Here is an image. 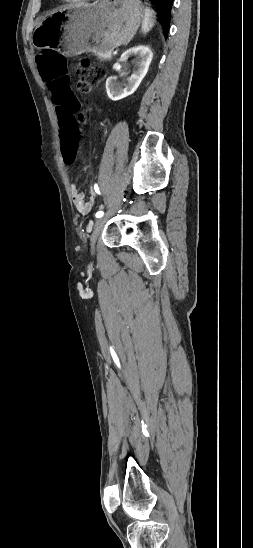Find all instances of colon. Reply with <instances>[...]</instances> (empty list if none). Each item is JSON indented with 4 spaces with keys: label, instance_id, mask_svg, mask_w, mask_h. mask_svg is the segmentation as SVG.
I'll list each match as a JSON object with an SVG mask.
<instances>
[{
    "label": "colon",
    "instance_id": "1",
    "mask_svg": "<svg viewBox=\"0 0 253 548\" xmlns=\"http://www.w3.org/2000/svg\"><path fill=\"white\" fill-rule=\"evenodd\" d=\"M38 71L45 83L50 102L55 105L65 165H72L76 158V139L82 136L84 118L73 94L74 81L70 80L69 61L55 51L45 49L38 56ZM77 87L81 93H88L105 77V70L89 59H82L76 67Z\"/></svg>",
    "mask_w": 253,
    "mask_h": 548
}]
</instances>
